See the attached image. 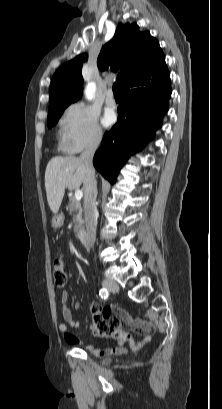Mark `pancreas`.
Returning a JSON list of instances; mask_svg holds the SVG:
<instances>
[{"label":"pancreas","instance_id":"pancreas-1","mask_svg":"<svg viewBox=\"0 0 222 409\" xmlns=\"http://www.w3.org/2000/svg\"><path fill=\"white\" fill-rule=\"evenodd\" d=\"M67 208L70 214H73L74 232L78 237H81L84 230L81 203L76 201L74 197H71Z\"/></svg>","mask_w":222,"mask_h":409}]
</instances>
